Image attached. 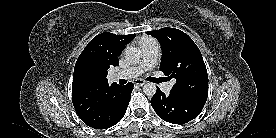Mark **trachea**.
I'll list each match as a JSON object with an SVG mask.
<instances>
[{"label":"trachea","mask_w":276,"mask_h":138,"mask_svg":"<svg viewBox=\"0 0 276 138\" xmlns=\"http://www.w3.org/2000/svg\"><path fill=\"white\" fill-rule=\"evenodd\" d=\"M162 80H163L162 78H153V77L148 79V81H151L154 83H160V82H162Z\"/></svg>","instance_id":"3493384b"}]
</instances>
